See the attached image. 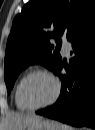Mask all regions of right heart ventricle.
Listing matches in <instances>:
<instances>
[{
    "label": "right heart ventricle",
    "instance_id": "obj_1",
    "mask_svg": "<svg viewBox=\"0 0 95 130\" xmlns=\"http://www.w3.org/2000/svg\"><path fill=\"white\" fill-rule=\"evenodd\" d=\"M22 78L19 79V81L17 82L16 86H15V89H14V102H15V105L16 107L21 110V111H25L27 109H25L20 103H19V100H18V96H17V93H18V87H19V84L21 82Z\"/></svg>",
    "mask_w": 95,
    "mask_h": 130
}]
</instances>
